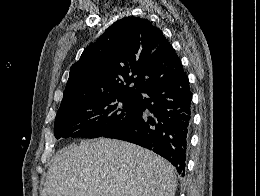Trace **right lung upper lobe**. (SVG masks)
<instances>
[{
    "instance_id": "right-lung-upper-lobe-1",
    "label": "right lung upper lobe",
    "mask_w": 260,
    "mask_h": 196,
    "mask_svg": "<svg viewBox=\"0 0 260 196\" xmlns=\"http://www.w3.org/2000/svg\"><path fill=\"white\" fill-rule=\"evenodd\" d=\"M182 70L159 28L146 19L126 17L113 23L72 65L59 110L99 94L138 97Z\"/></svg>"
}]
</instances>
